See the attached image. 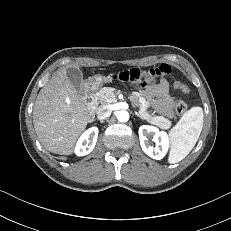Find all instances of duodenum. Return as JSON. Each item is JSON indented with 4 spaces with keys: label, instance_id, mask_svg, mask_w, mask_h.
Returning a JSON list of instances; mask_svg holds the SVG:
<instances>
[{
    "label": "duodenum",
    "instance_id": "obj_1",
    "mask_svg": "<svg viewBox=\"0 0 231 231\" xmlns=\"http://www.w3.org/2000/svg\"><path fill=\"white\" fill-rule=\"evenodd\" d=\"M83 99L87 105L89 111H93L95 108V94L92 84H87L83 89Z\"/></svg>",
    "mask_w": 231,
    "mask_h": 231
}]
</instances>
